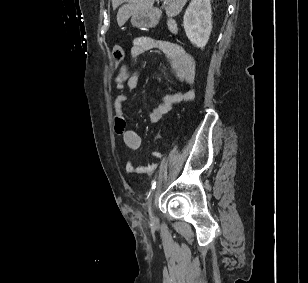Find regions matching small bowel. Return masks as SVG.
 Masks as SVG:
<instances>
[{"label": "small bowel", "mask_w": 308, "mask_h": 283, "mask_svg": "<svg viewBox=\"0 0 308 283\" xmlns=\"http://www.w3.org/2000/svg\"><path fill=\"white\" fill-rule=\"evenodd\" d=\"M151 50H158L165 54L176 77L189 87L193 85L195 80L194 62L191 56L181 46L169 41L156 40L142 36L133 41L131 55L134 58H138ZM114 82L117 89L113 101L115 132L122 136L127 148L130 150H137L142 145V139L136 130L127 127V120L124 114V102L126 101L124 88L127 87L130 90L137 89L139 86V75L135 72H129L128 68L122 65L118 70ZM192 96L193 92L191 89L164 95L160 102L152 108L149 114L150 120L154 123L158 122L171 110L174 104L188 101ZM152 154L156 158H161L164 155L161 150H154ZM156 167L157 165L155 163H151L147 166H136L130 160L125 164V169L128 173L138 174L151 173Z\"/></svg>", "instance_id": "c3829d8e"}]
</instances>
